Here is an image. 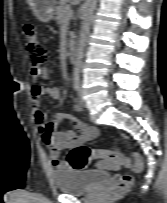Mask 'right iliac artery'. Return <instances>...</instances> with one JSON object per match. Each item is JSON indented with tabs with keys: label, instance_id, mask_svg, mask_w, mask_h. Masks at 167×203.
I'll list each match as a JSON object with an SVG mask.
<instances>
[{
	"label": "right iliac artery",
	"instance_id": "82829eb1",
	"mask_svg": "<svg viewBox=\"0 0 167 203\" xmlns=\"http://www.w3.org/2000/svg\"><path fill=\"white\" fill-rule=\"evenodd\" d=\"M73 87L76 91L79 90L80 87V82H79V77L78 76H74L73 78Z\"/></svg>",
	"mask_w": 167,
	"mask_h": 203
}]
</instances>
